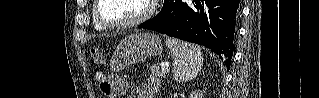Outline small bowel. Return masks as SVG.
I'll list each match as a JSON object with an SVG mask.
<instances>
[{
  "mask_svg": "<svg viewBox=\"0 0 319 98\" xmlns=\"http://www.w3.org/2000/svg\"><path fill=\"white\" fill-rule=\"evenodd\" d=\"M158 81L152 77L148 84H142L137 87V98H154V92L158 88ZM121 92L124 93L129 89V84L120 80Z\"/></svg>",
  "mask_w": 319,
  "mask_h": 98,
  "instance_id": "c3829d8e",
  "label": "small bowel"
}]
</instances>
